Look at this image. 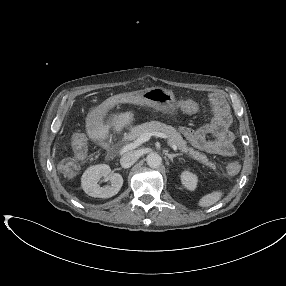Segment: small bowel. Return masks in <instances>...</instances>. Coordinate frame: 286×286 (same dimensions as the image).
<instances>
[{"instance_id":"small-bowel-1","label":"small bowel","mask_w":286,"mask_h":286,"mask_svg":"<svg viewBox=\"0 0 286 286\" xmlns=\"http://www.w3.org/2000/svg\"><path fill=\"white\" fill-rule=\"evenodd\" d=\"M214 118L199 129L180 127L179 131L194 147L207 153L231 157L235 153L234 135L229 130L231 117L224 97L215 93L210 98ZM178 108L186 114H196L199 105L193 100H181Z\"/></svg>"}]
</instances>
